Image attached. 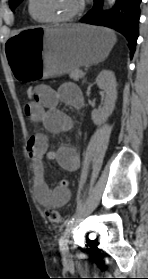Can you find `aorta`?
Segmentation results:
<instances>
[{
    "mask_svg": "<svg viewBox=\"0 0 148 279\" xmlns=\"http://www.w3.org/2000/svg\"><path fill=\"white\" fill-rule=\"evenodd\" d=\"M116 0H107L108 7L111 8L115 4Z\"/></svg>",
    "mask_w": 148,
    "mask_h": 279,
    "instance_id": "762f6f07",
    "label": "aorta"
}]
</instances>
